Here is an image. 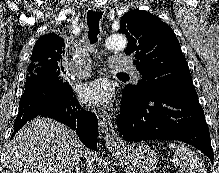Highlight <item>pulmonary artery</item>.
Masks as SVG:
<instances>
[{"instance_id": "1", "label": "pulmonary artery", "mask_w": 219, "mask_h": 173, "mask_svg": "<svg viewBox=\"0 0 219 173\" xmlns=\"http://www.w3.org/2000/svg\"><path fill=\"white\" fill-rule=\"evenodd\" d=\"M110 67L114 71H124L129 72L133 75L134 78L139 79L141 74L137 71L132 62L128 58H121V57H112L109 60ZM72 73L76 78H84L90 74V67L84 65L80 68H73Z\"/></svg>"}]
</instances>
